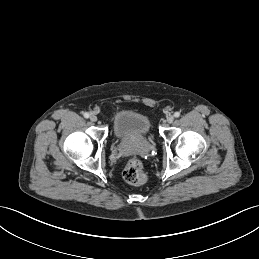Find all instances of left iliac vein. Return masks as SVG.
Here are the masks:
<instances>
[{
  "mask_svg": "<svg viewBox=\"0 0 259 259\" xmlns=\"http://www.w3.org/2000/svg\"><path fill=\"white\" fill-rule=\"evenodd\" d=\"M174 121V116L173 115H169L168 117H167V122L168 123H172Z\"/></svg>",
  "mask_w": 259,
  "mask_h": 259,
  "instance_id": "obj_1",
  "label": "left iliac vein"
}]
</instances>
